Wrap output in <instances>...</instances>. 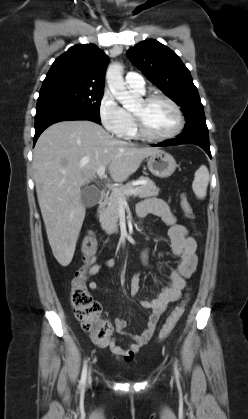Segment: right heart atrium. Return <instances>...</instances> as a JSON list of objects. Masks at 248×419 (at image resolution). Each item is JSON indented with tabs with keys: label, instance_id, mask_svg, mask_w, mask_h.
<instances>
[{
	"label": "right heart atrium",
	"instance_id": "obj_1",
	"mask_svg": "<svg viewBox=\"0 0 248 419\" xmlns=\"http://www.w3.org/2000/svg\"><path fill=\"white\" fill-rule=\"evenodd\" d=\"M99 118L107 131L124 137L129 125V113L119 105L110 91L103 93L98 107Z\"/></svg>",
	"mask_w": 248,
	"mask_h": 419
}]
</instances>
